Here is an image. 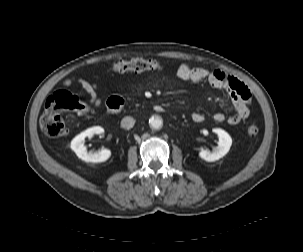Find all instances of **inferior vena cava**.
Instances as JSON below:
<instances>
[{"instance_id":"obj_1","label":"inferior vena cava","mask_w":303,"mask_h":252,"mask_svg":"<svg viewBox=\"0 0 303 252\" xmlns=\"http://www.w3.org/2000/svg\"><path fill=\"white\" fill-rule=\"evenodd\" d=\"M135 120L132 117L126 116L121 120V126L126 129H130L134 126Z\"/></svg>"}]
</instances>
